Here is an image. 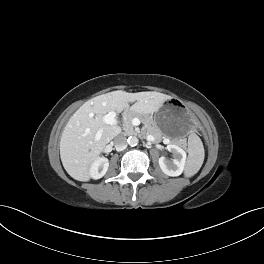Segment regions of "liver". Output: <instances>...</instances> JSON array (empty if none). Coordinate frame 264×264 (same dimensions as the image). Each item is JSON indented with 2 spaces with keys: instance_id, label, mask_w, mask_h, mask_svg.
I'll list each match as a JSON object with an SVG mask.
<instances>
[{
  "instance_id": "1",
  "label": "liver",
  "mask_w": 264,
  "mask_h": 264,
  "mask_svg": "<svg viewBox=\"0 0 264 264\" xmlns=\"http://www.w3.org/2000/svg\"><path fill=\"white\" fill-rule=\"evenodd\" d=\"M170 99L158 92L128 93L113 91L85 102L69 119L60 140V157L64 169L75 180H90V167L99 158L105 146L118 134L121 128L103 121L111 111L121 112L136 102L131 110L136 113L157 112ZM100 134L99 139H96Z\"/></svg>"
}]
</instances>
